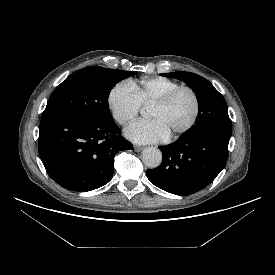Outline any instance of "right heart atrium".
Wrapping results in <instances>:
<instances>
[{
    "label": "right heart atrium",
    "instance_id": "1",
    "mask_svg": "<svg viewBox=\"0 0 275 275\" xmlns=\"http://www.w3.org/2000/svg\"><path fill=\"white\" fill-rule=\"evenodd\" d=\"M108 106L117 123L131 122L142 106L134 82L126 79L115 84L108 95Z\"/></svg>",
    "mask_w": 275,
    "mask_h": 275
}]
</instances>
